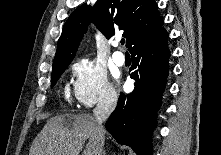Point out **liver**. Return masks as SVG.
I'll return each instance as SVG.
<instances>
[{"label": "liver", "instance_id": "6515ba94", "mask_svg": "<svg viewBox=\"0 0 221 155\" xmlns=\"http://www.w3.org/2000/svg\"><path fill=\"white\" fill-rule=\"evenodd\" d=\"M98 155L95 118L89 114H65L50 118L32 143L29 155Z\"/></svg>", "mask_w": 221, "mask_h": 155}]
</instances>
